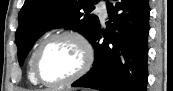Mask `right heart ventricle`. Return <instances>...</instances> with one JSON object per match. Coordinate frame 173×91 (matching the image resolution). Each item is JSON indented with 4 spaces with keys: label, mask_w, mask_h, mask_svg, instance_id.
<instances>
[{
    "label": "right heart ventricle",
    "mask_w": 173,
    "mask_h": 91,
    "mask_svg": "<svg viewBox=\"0 0 173 91\" xmlns=\"http://www.w3.org/2000/svg\"><path fill=\"white\" fill-rule=\"evenodd\" d=\"M40 43H41V41L38 42L37 45L33 48L30 59H29L28 78L33 84H37V81L33 75L32 62H33L34 54H35Z\"/></svg>",
    "instance_id": "obj_1"
}]
</instances>
